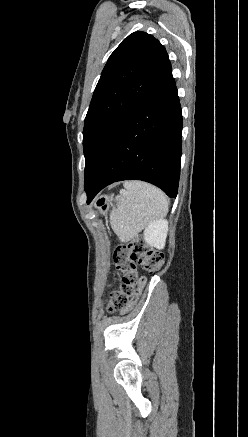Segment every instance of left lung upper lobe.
<instances>
[{"label": "left lung upper lobe", "instance_id": "left-lung-upper-lobe-1", "mask_svg": "<svg viewBox=\"0 0 248 437\" xmlns=\"http://www.w3.org/2000/svg\"><path fill=\"white\" fill-rule=\"evenodd\" d=\"M171 70L165 48L145 32L130 34L111 54L84 121L85 191L122 126Z\"/></svg>", "mask_w": 248, "mask_h": 437}]
</instances>
